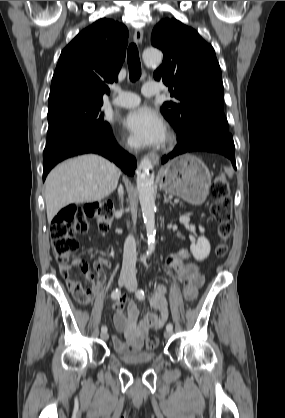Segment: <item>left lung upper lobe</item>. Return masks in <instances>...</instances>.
Returning a JSON list of instances; mask_svg holds the SVG:
<instances>
[{"mask_svg": "<svg viewBox=\"0 0 285 418\" xmlns=\"http://www.w3.org/2000/svg\"><path fill=\"white\" fill-rule=\"evenodd\" d=\"M151 43L163 52L155 80L169 86L176 101L161 107L175 129L178 142L206 128L229 132L223 109V83L213 47L192 28L176 19L161 20Z\"/></svg>", "mask_w": 285, "mask_h": 418, "instance_id": "left-lung-upper-lobe-1", "label": "left lung upper lobe"}]
</instances>
